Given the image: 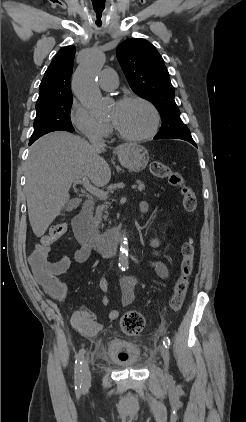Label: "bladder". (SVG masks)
<instances>
[{"instance_id":"bladder-1","label":"bladder","mask_w":246,"mask_h":422,"mask_svg":"<svg viewBox=\"0 0 246 422\" xmlns=\"http://www.w3.org/2000/svg\"><path fill=\"white\" fill-rule=\"evenodd\" d=\"M105 356L108 360L124 368H139L143 363L141 347L121 338H111L107 342Z\"/></svg>"}]
</instances>
